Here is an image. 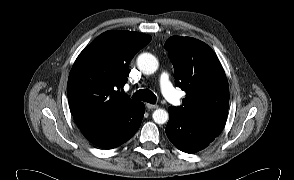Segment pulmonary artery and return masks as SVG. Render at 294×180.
Masks as SVG:
<instances>
[{
  "label": "pulmonary artery",
  "mask_w": 294,
  "mask_h": 180,
  "mask_svg": "<svg viewBox=\"0 0 294 180\" xmlns=\"http://www.w3.org/2000/svg\"><path fill=\"white\" fill-rule=\"evenodd\" d=\"M160 88L162 94L174 105H178L180 103V99L176 94L173 86L169 81V77L166 73L162 74L160 78Z\"/></svg>",
  "instance_id": "1"
}]
</instances>
